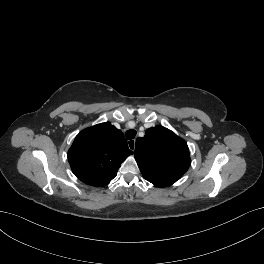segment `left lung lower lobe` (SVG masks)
I'll use <instances>...</instances> for the list:
<instances>
[{
    "label": "left lung lower lobe",
    "mask_w": 264,
    "mask_h": 264,
    "mask_svg": "<svg viewBox=\"0 0 264 264\" xmlns=\"http://www.w3.org/2000/svg\"><path fill=\"white\" fill-rule=\"evenodd\" d=\"M148 181L158 187H166V186H170L173 184L168 179H148Z\"/></svg>",
    "instance_id": "1"
}]
</instances>
